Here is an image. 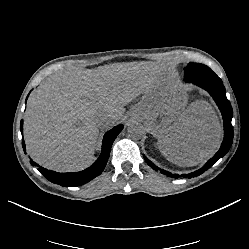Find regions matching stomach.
I'll use <instances>...</instances> for the list:
<instances>
[{
	"label": "stomach",
	"mask_w": 249,
	"mask_h": 249,
	"mask_svg": "<svg viewBox=\"0 0 249 249\" xmlns=\"http://www.w3.org/2000/svg\"><path fill=\"white\" fill-rule=\"evenodd\" d=\"M186 98L178 75L171 70L160 72L151 90L140 100L142 121L153 130L168 128L184 110Z\"/></svg>",
	"instance_id": "1"
}]
</instances>
